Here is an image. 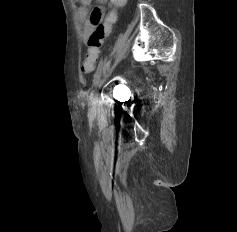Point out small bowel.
I'll list each match as a JSON object with an SVG mask.
<instances>
[{"mask_svg": "<svg viewBox=\"0 0 237 232\" xmlns=\"http://www.w3.org/2000/svg\"><path fill=\"white\" fill-rule=\"evenodd\" d=\"M92 1L80 0L81 7L78 12V18L79 22L83 25L82 37L85 42L94 33L95 27L102 22L106 12L104 5L108 2L112 5V0H96L100 5L89 10Z\"/></svg>", "mask_w": 237, "mask_h": 232, "instance_id": "obj_1", "label": "small bowel"}]
</instances>
